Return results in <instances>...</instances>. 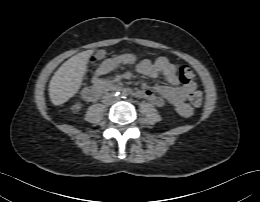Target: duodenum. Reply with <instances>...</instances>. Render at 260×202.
I'll use <instances>...</instances> for the list:
<instances>
[{"label": "duodenum", "mask_w": 260, "mask_h": 202, "mask_svg": "<svg viewBox=\"0 0 260 202\" xmlns=\"http://www.w3.org/2000/svg\"><path fill=\"white\" fill-rule=\"evenodd\" d=\"M116 88L110 82L101 81L96 85L85 88L82 91V97L87 101H93L101 94L109 91L115 90Z\"/></svg>", "instance_id": "obj_1"}]
</instances>
